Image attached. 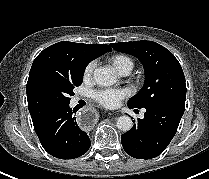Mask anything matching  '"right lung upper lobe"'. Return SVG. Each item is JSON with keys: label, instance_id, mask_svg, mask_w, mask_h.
<instances>
[{"label": "right lung upper lobe", "instance_id": "right-lung-upper-lobe-1", "mask_svg": "<svg viewBox=\"0 0 209 179\" xmlns=\"http://www.w3.org/2000/svg\"><path fill=\"white\" fill-rule=\"evenodd\" d=\"M110 51L112 49L106 44L91 45L68 41L58 42L44 49L36 57L28 80L40 71L72 73L85 69L89 62Z\"/></svg>", "mask_w": 209, "mask_h": 179}]
</instances>
